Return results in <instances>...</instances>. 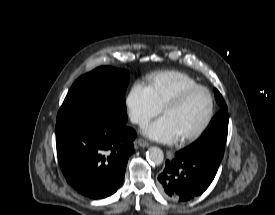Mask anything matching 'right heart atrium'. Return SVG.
I'll list each match as a JSON object with an SVG mask.
<instances>
[{"label": "right heart atrium", "instance_id": "obj_1", "mask_svg": "<svg viewBox=\"0 0 275 215\" xmlns=\"http://www.w3.org/2000/svg\"><path fill=\"white\" fill-rule=\"evenodd\" d=\"M126 105L131 121L140 126L157 116L161 110L142 83H135L131 87L126 98Z\"/></svg>", "mask_w": 275, "mask_h": 215}]
</instances>
